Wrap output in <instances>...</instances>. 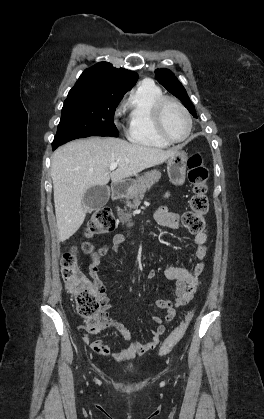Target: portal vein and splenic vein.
Here are the masks:
<instances>
[{
	"label": "portal vein and splenic vein",
	"instance_id": "18ae733b",
	"mask_svg": "<svg viewBox=\"0 0 264 419\" xmlns=\"http://www.w3.org/2000/svg\"><path fill=\"white\" fill-rule=\"evenodd\" d=\"M116 168H117V163H116V162H114V163H112V164L110 165L109 170H110V171H113V170H115Z\"/></svg>",
	"mask_w": 264,
	"mask_h": 419
}]
</instances>
